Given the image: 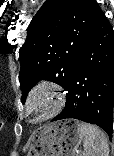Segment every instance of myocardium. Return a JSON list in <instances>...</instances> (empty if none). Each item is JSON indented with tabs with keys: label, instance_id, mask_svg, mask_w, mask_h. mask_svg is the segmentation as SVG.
I'll return each instance as SVG.
<instances>
[{
	"label": "myocardium",
	"instance_id": "1",
	"mask_svg": "<svg viewBox=\"0 0 114 156\" xmlns=\"http://www.w3.org/2000/svg\"><path fill=\"white\" fill-rule=\"evenodd\" d=\"M40 94H45L49 107L42 113L34 112V102ZM66 103V94L63 88L55 81L43 79L35 83L28 91L23 102L24 116L31 124H37L58 114Z\"/></svg>",
	"mask_w": 114,
	"mask_h": 156
}]
</instances>
